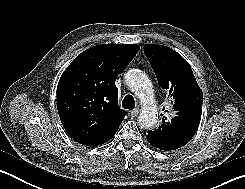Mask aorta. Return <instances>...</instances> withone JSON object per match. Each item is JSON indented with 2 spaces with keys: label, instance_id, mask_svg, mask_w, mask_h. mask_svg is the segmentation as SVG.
Instances as JSON below:
<instances>
[{
  "label": "aorta",
  "instance_id": "762f6f07",
  "mask_svg": "<svg viewBox=\"0 0 245 189\" xmlns=\"http://www.w3.org/2000/svg\"><path fill=\"white\" fill-rule=\"evenodd\" d=\"M125 81L143 104L138 117L140 126L146 129L154 127L157 123V110L154 104V90L149 77L141 70L131 69L126 73Z\"/></svg>",
  "mask_w": 245,
  "mask_h": 189
}]
</instances>
